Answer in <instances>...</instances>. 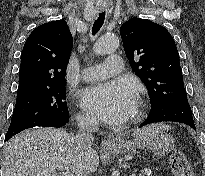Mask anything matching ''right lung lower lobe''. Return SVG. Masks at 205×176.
<instances>
[{
  "label": "right lung lower lobe",
  "mask_w": 205,
  "mask_h": 176,
  "mask_svg": "<svg viewBox=\"0 0 205 176\" xmlns=\"http://www.w3.org/2000/svg\"><path fill=\"white\" fill-rule=\"evenodd\" d=\"M69 119L63 121V122H47V123H44V124H41L39 126H42V127H57V128H60L62 126H65L67 123H68Z\"/></svg>",
  "instance_id": "1"
}]
</instances>
